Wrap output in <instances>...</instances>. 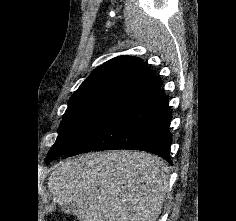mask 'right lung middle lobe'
I'll list each match as a JSON object with an SVG mask.
<instances>
[{
  "label": "right lung middle lobe",
  "instance_id": "obj_1",
  "mask_svg": "<svg viewBox=\"0 0 236 221\" xmlns=\"http://www.w3.org/2000/svg\"><path fill=\"white\" fill-rule=\"evenodd\" d=\"M134 95L127 91L98 92L70 100L60 123L57 140L45 162L49 163L74 148Z\"/></svg>",
  "mask_w": 236,
  "mask_h": 221
}]
</instances>
